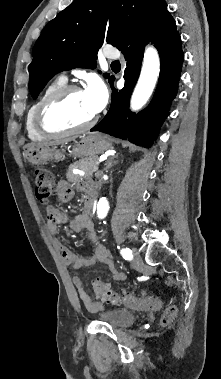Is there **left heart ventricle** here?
<instances>
[{"mask_svg":"<svg viewBox=\"0 0 221 379\" xmlns=\"http://www.w3.org/2000/svg\"><path fill=\"white\" fill-rule=\"evenodd\" d=\"M94 115L82 92H74L50 112L48 122L55 127H74L86 123Z\"/></svg>","mask_w":221,"mask_h":379,"instance_id":"b2bd125f","label":"left heart ventricle"}]
</instances>
